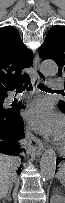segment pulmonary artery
I'll use <instances>...</instances> for the list:
<instances>
[{"mask_svg": "<svg viewBox=\"0 0 65 203\" xmlns=\"http://www.w3.org/2000/svg\"><path fill=\"white\" fill-rule=\"evenodd\" d=\"M50 87L53 90H58V89H60L62 87V85H61V83H59L58 80H52L50 82ZM11 99H14V97H11Z\"/></svg>", "mask_w": 65, "mask_h": 203, "instance_id": "obj_1", "label": "pulmonary artery"}]
</instances>
